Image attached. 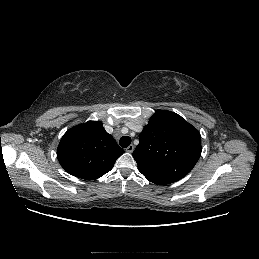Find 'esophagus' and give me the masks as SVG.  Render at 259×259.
Returning a JSON list of instances; mask_svg holds the SVG:
<instances>
[{
	"label": "esophagus",
	"instance_id": "obj_1",
	"mask_svg": "<svg viewBox=\"0 0 259 259\" xmlns=\"http://www.w3.org/2000/svg\"><path fill=\"white\" fill-rule=\"evenodd\" d=\"M134 151V145H129L127 148H126V152L128 153H132Z\"/></svg>",
	"mask_w": 259,
	"mask_h": 259
}]
</instances>
